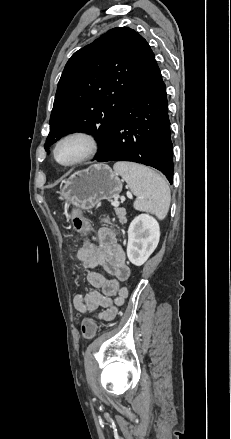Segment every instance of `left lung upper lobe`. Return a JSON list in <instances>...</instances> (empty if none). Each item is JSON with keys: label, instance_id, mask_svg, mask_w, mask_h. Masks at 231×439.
Wrapping results in <instances>:
<instances>
[{"label": "left lung upper lobe", "instance_id": "obj_1", "mask_svg": "<svg viewBox=\"0 0 231 439\" xmlns=\"http://www.w3.org/2000/svg\"><path fill=\"white\" fill-rule=\"evenodd\" d=\"M152 55L146 40L128 27L113 28L74 53L58 83L45 150L83 131L97 138L98 155Z\"/></svg>", "mask_w": 231, "mask_h": 439}]
</instances>
